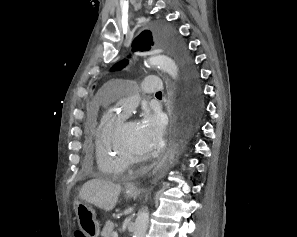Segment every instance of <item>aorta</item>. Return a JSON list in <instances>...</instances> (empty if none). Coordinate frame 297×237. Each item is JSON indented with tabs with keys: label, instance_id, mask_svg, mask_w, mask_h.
I'll return each instance as SVG.
<instances>
[{
	"label": "aorta",
	"instance_id": "aorta-1",
	"mask_svg": "<svg viewBox=\"0 0 297 237\" xmlns=\"http://www.w3.org/2000/svg\"><path fill=\"white\" fill-rule=\"evenodd\" d=\"M158 45H167L173 50L171 43L159 42ZM147 63L151 66H156L168 73L173 79L178 77V66L175 61L166 55H156L148 59ZM149 225V212L147 208L141 209L135 220V228L133 237H145Z\"/></svg>",
	"mask_w": 297,
	"mask_h": 237
}]
</instances>
